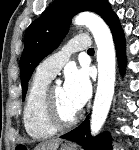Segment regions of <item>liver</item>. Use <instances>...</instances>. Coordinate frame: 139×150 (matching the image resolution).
Masks as SVG:
<instances>
[{
    "label": "liver",
    "mask_w": 139,
    "mask_h": 150,
    "mask_svg": "<svg viewBox=\"0 0 139 150\" xmlns=\"http://www.w3.org/2000/svg\"><path fill=\"white\" fill-rule=\"evenodd\" d=\"M60 143H61L60 139L45 141L38 144L34 150H57Z\"/></svg>",
    "instance_id": "liver-1"
}]
</instances>
